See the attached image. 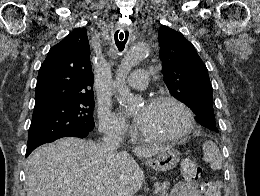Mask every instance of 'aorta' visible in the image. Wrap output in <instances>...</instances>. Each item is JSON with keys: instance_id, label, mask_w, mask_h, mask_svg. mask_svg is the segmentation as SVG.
<instances>
[{"instance_id": "1", "label": "aorta", "mask_w": 260, "mask_h": 196, "mask_svg": "<svg viewBox=\"0 0 260 196\" xmlns=\"http://www.w3.org/2000/svg\"><path fill=\"white\" fill-rule=\"evenodd\" d=\"M149 49L146 45L139 44L129 49L123 57L121 64L116 72L114 87L117 91V99L125 106L127 111H134L139 103L126 84V78L133 67L148 56Z\"/></svg>"}]
</instances>
